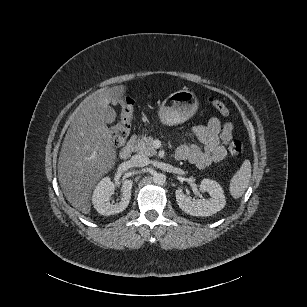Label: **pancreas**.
I'll use <instances>...</instances> for the list:
<instances>
[{
    "label": "pancreas",
    "instance_id": "cf45deb5",
    "mask_svg": "<svg viewBox=\"0 0 307 307\" xmlns=\"http://www.w3.org/2000/svg\"><path fill=\"white\" fill-rule=\"evenodd\" d=\"M153 137L140 136L136 139L137 144L134 150L147 156H153L157 154L156 149L153 147Z\"/></svg>",
    "mask_w": 307,
    "mask_h": 307
}]
</instances>
